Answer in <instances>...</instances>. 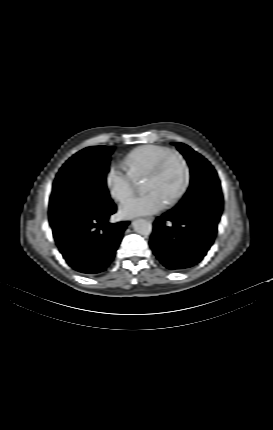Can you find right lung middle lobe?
Instances as JSON below:
<instances>
[{"label": "right lung middle lobe", "instance_id": "dd1d6c3e", "mask_svg": "<svg viewBox=\"0 0 273 430\" xmlns=\"http://www.w3.org/2000/svg\"><path fill=\"white\" fill-rule=\"evenodd\" d=\"M113 147L93 146L73 155L60 169L49 202L52 227L114 205L106 187Z\"/></svg>", "mask_w": 273, "mask_h": 430}]
</instances>
